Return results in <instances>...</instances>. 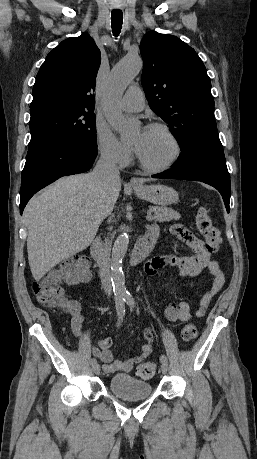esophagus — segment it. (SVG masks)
I'll return each instance as SVG.
<instances>
[{
	"mask_svg": "<svg viewBox=\"0 0 257 459\" xmlns=\"http://www.w3.org/2000/svg\"><path fill=\"white\" fill-rule=\"evenodd\" d=\"M141 182L136 178V177H132L130 179V185H140Z\"/></svg>",
	"mask_w": 257,
	"mask_h": 459,
	"instance_id": "1",
	"label": "esophagus"
}]
</instances>
